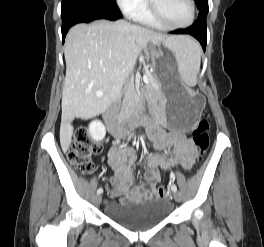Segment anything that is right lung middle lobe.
<instances>
[{
    "instance_id": "obj_1",
    "label": "right lung middle lobe",
    "mask_w": 264,
    "mask_h": 247,
    "mask_svg": "<svg viewBox=\"0 0 264 247\" xmlns=\"http://www.w3.org/2000/svg\"><path fill=\"white\" fill-rule=\"evenodd\" d=\"M94 1H101V2L114 3L116 0H94Z\"/></svg>"
}]
</instances>
